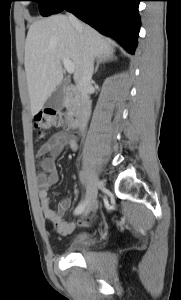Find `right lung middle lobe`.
<instances>
[{
    "label": "right lung middle lobe",
    "instance_id": "dd1d6c3e",
    "mask_svg": "<svg viewBox=\"0 0 181 300\" xmlns=\"http://www.w3.org/2000/svg\"><path fill=\"white\" fill-rule=\"evenodd\" d=\"M36 1L39 4L40 13L42 16L55 14L58 9L64 6L67 0H29Z\"/></svg>",
    "mask_w": 181,
    "mask_h": 300
}]
</instances>
